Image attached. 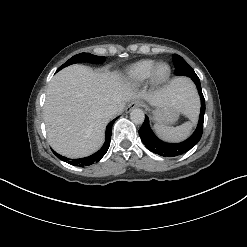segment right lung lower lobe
Returning a JSON list of instances; mask_svg holds the SVG:
<instances>
[{"mask_svg": "<svg viewBox=\"0 0 247 247\" xmlns=\"http://www.w3.org/2000/svg\"><path fill=\"white\" fill-rule=\"evenodd\" d=\"M116 119L112 120L106 128V138H105V143L102 146V148L97 151L95 154L86 157V158H80V159H68L64 156L59 155L58 153H56L55 151H53V153L62 161H67L69 164L72 165H76V166H80V167H84V166H89L93 163L98 162L108 151L109 146H110V141H111V135H112V126L113 123L115 122Z\"/></svg>", "mask_w": 247, "mask_h": 247, "instance_id": "right-lung-lower-lobe-1", "label": "right lung lower lobe"}]
</instances>
